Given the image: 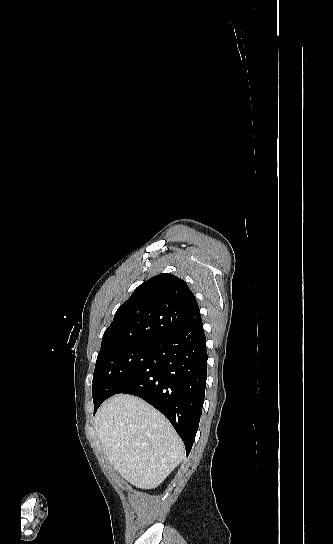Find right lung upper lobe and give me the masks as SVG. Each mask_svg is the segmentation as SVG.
I'll use <instances>...</instances> for the list:
<instances>
[{
  "label": "right lung upper lobe",
  "mask_w": 333,
  "mask_h": 544,
  "mask_svg": "<svg viewBox=\"0 0 333 544\" xmlns=\"http://www.w3.org/2000/svg\"><path fill=\"white\" fill-rule=\"evenodd\" d=\"M199 307L186 282L170 273L138 286L115 313L100 352L133 343L156 342L201 322Z\"/></svg>",
  "instance_id": "1"
}]
</instances>
